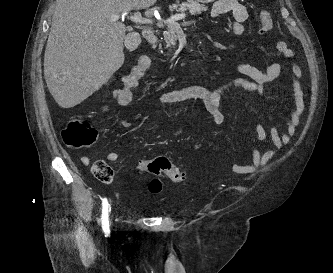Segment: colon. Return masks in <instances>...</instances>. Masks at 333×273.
<instances>
[{"label": "colon", "mask_w": 333, "mask_h": 273, "mask_svg": "<svg viewBox=\"0 0 333 273\" xmlns=\"http://www.w3.org/2000/svg\"><path fill=\"white\" fill-rule=\"evenodd\" d=\"M273 29V18L269 11L260 13V33L268 34ZM64 143L75 149H80L92 145L97 137L96 130L85 120L72 118L61 132ZM94 176L101 182L110 183L113 180V170L104 161L97 160L91 167ZM138 172H150L153 174H165L173 182L183 183L186 174L177 168L168 158L164 156L153 159H140L136 163ZM162 184L159 179H153L149 184L151 192H159Z\"/></svg>", "instance_id": "colon-1"}]
</instances>
